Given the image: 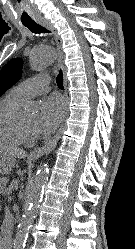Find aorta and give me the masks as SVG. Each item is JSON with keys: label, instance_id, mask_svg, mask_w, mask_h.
<instances>
[{"label": "aorta", "instance_id": "762f6f07", "mask_svg": "<svg viewBox=\"0 0 135 249\" xmlns=\"http://www.w3.org/2000/svg\"><path fill=\"white\" fill-rule=\"evenodd\" d=\"M56 59V51L49 46L36 47L30 56L31 68L41 71L51 65ZM49 166L43 164L37 170L34 179L30 182L26 190L27 206L23 212L22 219L18 225L13 249H24L28 237L29 229L34 222L40 203L43 198L44 188L48 180Z\"/></svg>", "mask_w": 135, "mask_h": 249}]
</instances>
